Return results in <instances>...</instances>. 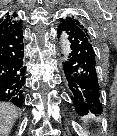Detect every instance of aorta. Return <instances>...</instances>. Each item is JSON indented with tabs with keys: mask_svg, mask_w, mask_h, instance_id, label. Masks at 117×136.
Segmentation results:
<instances>
[{
	"mask_svg": "<svg viewBox=\"0 0 117 136\" xmlns=\"http://www.w3.org/2000/svg\"><path fill=\"white\" fill-rule=\"evenodd\" d=\"M61 49L63 52H65V50H66L65 40H63V38L61 40Z\"/></svg>",
	"mask_w": 117,
	"mask_h": 136,
	"instance_id": "762f6f07",
	"label": "aorta"
}]
</instances>
